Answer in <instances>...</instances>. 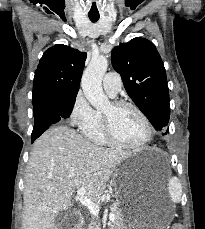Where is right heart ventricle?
Returning a JSON list of instances; mask_svg holds the SVG:
<instances>
[{
    "label": "right heart ventricle",
    "mask_w": 205,
    "mask_h": 229,
    "mask_svg": "<svg viewBox=\"0 0 205 229\" xmlns=\"http://www.w3.org/2000/svg\"><path fill=\"white\" fill-rule=\"evenodd\" d=\"M82 132L88 140L95 144L103 146L110 144L104 134L101 112L96 111V119L94 123L88 128L84 129Z\"/></svg>",
    "instance_id": "e07e8e85"
}]
</instances>
